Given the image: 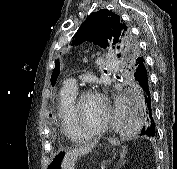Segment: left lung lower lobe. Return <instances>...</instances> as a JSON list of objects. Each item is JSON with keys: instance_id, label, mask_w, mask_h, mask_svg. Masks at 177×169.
<instances>
[{"instance_id": "left-lung-lower-lobe-1", "label": "left lung lower lobe", "mask_w": 177, "mask_h": 169, "mask_svg": "<svg viewBox=\"0 0 177 169\" xmlns=\"http://www.w3.org/2000/svg\"><path fill=\"white\" fill-rule=\"evenodd\" d=\"M128 65L135 82L139 102L143 105L146 113L145 126L142 128L140 135L155 137L156 129L153 120L149 75L145 59L141 55L136 56L130 63H128Z\"/></svg>"}]
</instances>
